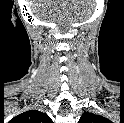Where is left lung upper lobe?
<instances>
[{
  "label": "left lung upper lobe",
  "mask_w": 124,
  "mask_h": 123,
  "mask_svg": "<svg viewBox=\"0 0 124 123\" xmlns=\"http://www.w3.org/2000/svg\"><path fill=\"white\" fill-rule=\"evenodd\" d=\"M106 121L107 119L100 115L91 112H85L81 116L79 123H106Z\"/></svg>",
  "instance_id": "left-lung-upper-lobe-1"
}]
</instances>
